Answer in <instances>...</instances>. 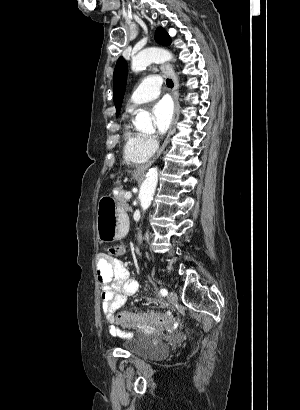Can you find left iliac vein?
I'll list each match as a JSON object with an SVG mask.
<instances>
[{
    "mask_svg": "<svg viewBox=\"0 0 300 410\" xmlns=\"http://www.w3.org/2000/svg\"><path fill=\"white\" fill-rule=\"evenodd\" d=\"M167 299L170 303H175L178 300V296H177L176 292L170 291L168 293Z\"/></svg>",
    "mask_w": 300,
    "mask_h": 410,
    "instance_id": "obj_1",
    "label": "left iliac vein"
}]
</instances>
